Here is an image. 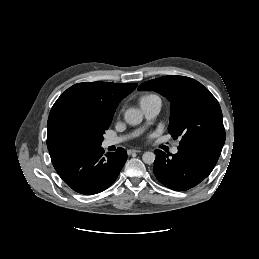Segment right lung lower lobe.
Instances as JSON below:
<instances>
[{"label": "right lung lower lobe", "instance_id": "right-lung-lower-lobe-1", "mask_svg": "<svg viewBox=\"0 0 259 259\" xmlns=\"http://www.w3.org/2000/svg\"><path fill=\"white\" fill-rule=\"evenodd\" d=\"M101 146H76L50 150L52 164L74 191L91 195L110 187L127 160L123 148L103 155Z\"/></svg>", "mask_w": 259, "mask_h": 259}]
</instances>
